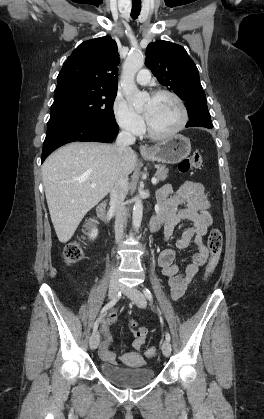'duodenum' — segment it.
Segmentation results:
<instances>
[{
	"label": "duodenum",
	"instance_id": "duodenum-1",
	"mask_svg": "<svg viewBox=\"0 0 264 419\" xmlns=\"http://www.w3.org/2000/svg\"><path fill=\"white\" fill-rule=\"evenodd\" d=\"M97 211H98V215L104 220V222L109 224L110 223V217H109V214H108L107 203L102 202L98 206ZM162 224H163V220L160 217H158V216L153 217L150 221L151 231L158 230L162 226Z\"/></svg>",
	"mask_w": 264,
	"mask_h": 419
}]
</instances>
